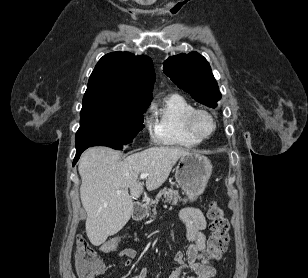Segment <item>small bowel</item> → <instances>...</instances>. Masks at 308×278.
Instances as JSON below:
<instances>
[{
    "mask_svg": "<svg viewBox=\"0 0 308 278\" xmlns=\"http://www.w3.org/2000/svg\"><path fill=\"white\" fill-rule=\"evenodd\" d=\"M179 217L185 227V238L188 243L185 252L177 251L175 253L174 260L179 267L168 278H181L182 271L185 268L193 273L187 278H213L215 275L214 263L203 257V252L206 249L204 230L207 225L204 214L198 208L186 207L180 211ZM137 254V251L133 248H123L118 252V257L124 266L128 267L132 260L137 257ZM185 257L187 264L184 262ZM147 275L148 270L143 267L131 278H147Z\"/></svg>",
    "mask_w": 308,
    "mask_h": 278,
    "instance_id": "small-bowel-1",
    "label": "small bowel"
}]
</instances>
